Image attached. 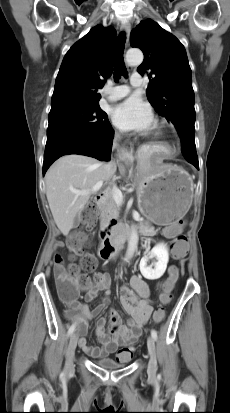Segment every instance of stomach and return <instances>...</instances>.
<instances>
[{
  "mask_svg": "<svg viewBox=\"0 0 230 413\" xmlns=\"http://www.w3.org/2000/svg\"><path fill=\"white\" fill-rule=\"evenodd\" d=\"M140 212L156 225L183 218L193 199V181L182 168L171 165H139L135 177Z\"/></svg>",
  "mask_w": 230,
  "mask_h": 413,
  "instance_id": "stomach-1",
  "label": "stomach"
}]
</instances>
